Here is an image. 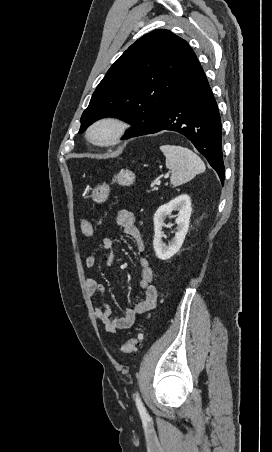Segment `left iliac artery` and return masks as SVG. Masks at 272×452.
<instances>
[{"label": "left iliac artery", "mask_w": 272, "mask_h": 452, "mask_svg": "<svg viewBox=\"0 0 272 452\" xmlns=\"http://www.w3.org/2000/svg\"><path fill=\"white\" fill-rule=\"evenodd\" d=\"M135 402H136V406L138 408V411H139L140 415L142 417H146L148 414H147V411H146V409H145V407H144V405H143V403H142V401L140 399V396H139L138 392L135 395Z\"/></svg>", "instance_id": "1"}]
</instances>
